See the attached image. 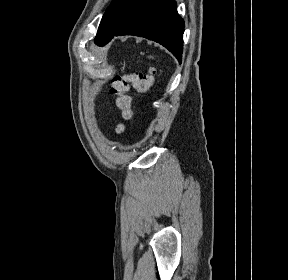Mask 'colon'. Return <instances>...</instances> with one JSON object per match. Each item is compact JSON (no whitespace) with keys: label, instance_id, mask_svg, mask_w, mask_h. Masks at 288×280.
I'll list each match as a JSON object with an SVG mask.
<instances>
[{"label":"colon","instance_id":"1","mask_svg":"<svg viewBox=\"0 0 288 280\" xmlns=\"http://www.w3.org/2000/svg\"><path fill=\"white\" fill-rule=\"evenodd\" d=\"M155 82V72L150 70L147 74L129 73L115 76L111 81V93L116 96V105L122 112L125 123L132 120L134 110L132 108V98L128 94L130 86L139 92L150 90ZM125 123L117 126L118 133L125 130Z\"/></svg>","mask_w":288,"mask_h":280}]
</instances>
